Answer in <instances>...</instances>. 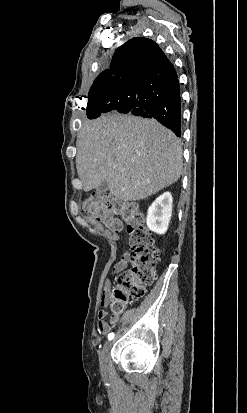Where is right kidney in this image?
<instances>
[{
  "mask_svg": "<svg viewBox=\"0 0 247 413\" xmlns=\"http://www.w3.org/2000/svg\"><path fill=\"white\" fill-rule=\"evenodd\" d=\"M172 202L171 192H163L152 202L146 219L150 231H154L158 235L166 233L172 217Z\"/></svg>",
  "mask_w": 247,
  "mask_h": 413,
  "instance_id": "ca27d5eb",
  "label": "right kidney"
}]
</instances>
